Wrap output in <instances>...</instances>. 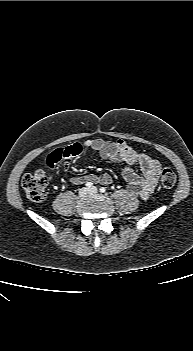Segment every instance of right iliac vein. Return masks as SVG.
Returning <instances> with one entry per match:
<instances>
[{
	"label": "right iliac vein",
	"mask_w": 193,
	"mask_h": 351,
	"mask_svg": "<svg viewBox=\"0 0 193 351\" xmlns=\"http://www.w3.org/2000/svg\"><path fill=\"white\" fill-rule=\"evenodd\" d=\"M89 193L87 188H81L78 192L79 197L83 198Z\"/></svg>",
	"instance_id": "1"
}]
</instances>
